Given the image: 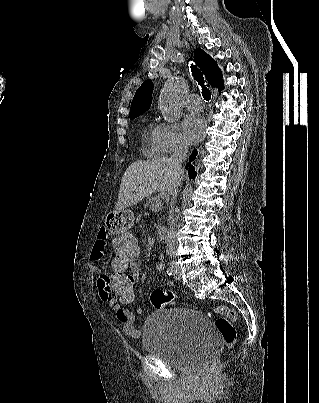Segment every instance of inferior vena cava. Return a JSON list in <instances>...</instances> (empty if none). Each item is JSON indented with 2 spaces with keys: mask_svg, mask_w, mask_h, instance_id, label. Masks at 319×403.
<instances>
[{
  "mask_svg": "<svg viewBox=\"0 0 319 403\" xmlns=\"http://www.w3.org/2000/svg\"><path fill=\"white\" fill-rule=\"evenodd\" d=\"M188 153V144L184 141H179L174 153L170 157V161L172 166L176 171L182 170V163L186 160ZM179 183L176 182L173 187L169 190V194L173 196L172 205L176 202L177 190ZM166 249L168 251L175 249V220H174V209L170 211L169 215V230L167 237V246Z\"/></svg>",
  "mask_w": 319,
  "mask_h": 403,
  "instance_id": "602c4592",
  "label": "inferior vena cava"
}]
</instances>
